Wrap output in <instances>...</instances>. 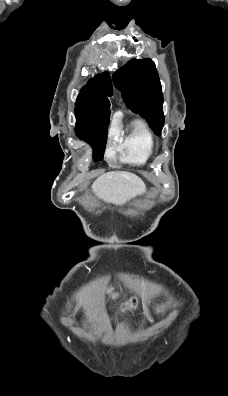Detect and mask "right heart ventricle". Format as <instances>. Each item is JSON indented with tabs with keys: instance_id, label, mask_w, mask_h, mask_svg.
I'll use <instances>...</instances> for the list:
<instances>
[{
	"instance_id": "obj_1",
	"label": "right heart ventricle",
	"mask_w": 228,
	"mask_h": 396,
	"mask_svg": "<svg viewBox=\"0 0 228 396\" xmlns=\"http://www.w3.org/2000/svg\"><path fill=\"white\" fill-rule=\"evenodd\" d=\"M153 149V136L141 121L133 122L130 130L122 134L118 144L122 160L131 164H144L152 155Z\"/></svg>"
}]
</instances>
